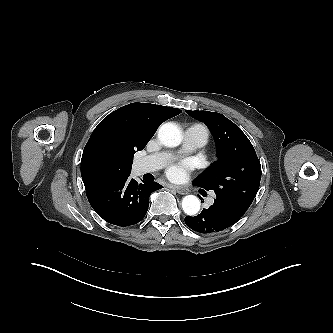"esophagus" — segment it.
<instances>
[{
    "instance_id": "obj_1",
    "label": "esophagus",
    "mask_w": 333,
    "mask_h": 333,
    "mask_svg": "<svg viewBox=\"0 0 333 333\" xmlns=\"http://www.w3.org/2000/svg\"><path fill=\"white\" fill-rule=\"evenodd\" d=\"M170 189L175 190L177 193L185 195L187 194V191L181 187L175 186V185H169L168 186Z\"/></svg>"
}]
</instances>
